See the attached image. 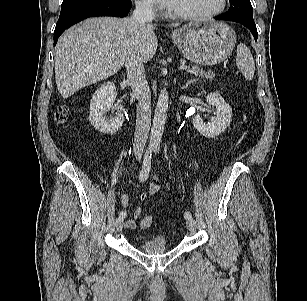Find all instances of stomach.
Instances as JSON below:
<instances>
[{"label": "stomach", "mask_w": 307, "mask_h": 301, "mask_svg": "<svg viewBox=\"0 0 307 301\" xmlns=\"http://www.w3.org/2000/svg\"><path fill=\"white\" fill-rule=\"evenodd\" d=\"M172 39L187 59L200 65H214L232 53L236 35L222 22L189 23L174 30Z\"/></svg>", "instance_id": "obj_1"}]
</instances>
